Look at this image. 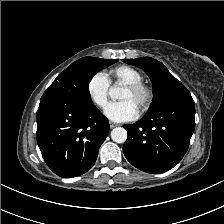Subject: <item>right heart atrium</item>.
<instances>
[{
	"label": "right heart atrium",
	"instance_id": "obj_1",
	"mask_svg": "<svg viewBox=\"0 0 224 224\" xmlns=\"http://www.w3.org/2000/svg\"><path fill=\"white\" fill-rule=\"evenodd\" d=\"M110 82L102 72L91 76L87 83V93L90 100L98 108H104L108 102Z\"/></svg>",
	"mask_w": 224,
	"mask_h": 224
}]
</instances>
